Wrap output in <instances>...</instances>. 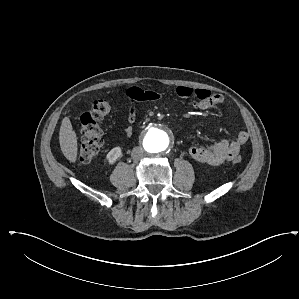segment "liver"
I'll return each instance as SVG.
<instances>
[{
	"label": "liver",
	"instance_id": "obj_1",
	"mask_svg": "<svg viewBox=\"0 0 299 299\" xmlns=\"http://www.w3.org/2000/svg\"><path fill=\"white\" fill-rule=\"evenodd\" d=\"M61 151L70 162L75 163L78 153L77 135L73 130L69 117H64L59 131Z\"/></svg>",
	"mask_w": 299,
	"mask_h": 299
}]
</instances>
